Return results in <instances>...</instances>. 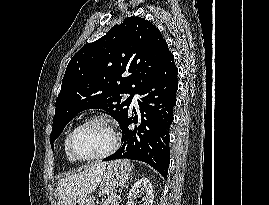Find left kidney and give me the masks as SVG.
I'll return each mask as SVG.
<instances>
[{
	"mask_svg": "<svg viewBox=\"0 0 269 205\" xmlns=\"http://www.w3.org/2000/svg\"><path fill=\"white\" fill-rule=\"evenodd\" d=\"M138 193H142L144 195L141 201L143 203L142 205H153V186L148 178H142L132 186L127 195L128 201L133 203V198Z\"/></svg>",
	"mask_w": 269,
	"mask_h": 205,
	"instance_id": "obj_1",
	"label": "left kidney"
}]
</instances>
